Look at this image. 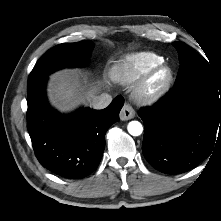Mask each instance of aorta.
Returning <instances> with one entry per match:
<instances>
[{
	"label": "aorta",
	"mask_w": 221,
	"mask_h": 221,
	"mask_svg": "<svg viewBox=\"0 0 221 221\" xmlns=\"http://www.w3.org/2000/svg\"><path fill=\"white\" fill-rule=\"evenodd\" d=\"M127 130L132 136H139L143 132V126L139 121H131L127 126Z\"/></svg>",
	"instance_id": "aorta-1"
}]
</instances>
